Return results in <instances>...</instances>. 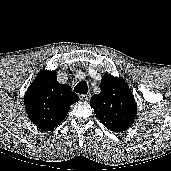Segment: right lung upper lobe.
<instances>
[{
  "label": "right lung upper lobe",
  "mask_w": 171,
  "mask_h": 171,
  "mask_svg": "<svg viewBox=\"0 0 171 171\" xmlns=\"http://www.w3.org/2000/svg\"><path fill=\"white\" fill-rule=\"evenodd\" d=\"M56 77V70H43L24 96L25 109L30 120L42 131L57 127L67 116L70 106L79 101L71 87L60 84Z\"/></svg>",
  "instance_id": "1"
}]
</instances>
